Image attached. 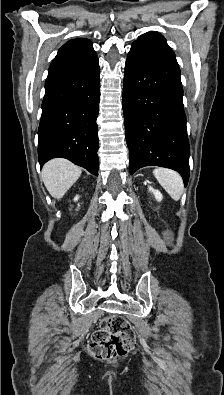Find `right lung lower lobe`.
Instances as JSON below:
<instances>
[{"instance_id":"98d812e1","label":"right lung lower lobe","mask_w":224,"mask_h":395,"mask_svg":"<svg viewBox=\"0 0 224 395\" xmlns=\"http://www.w3.org/2000/svg\"><path fill=\"white\" fill-rule=\"evenodd\" d=\"M100 67L96 52L70 40L52 61L38 130L40 166L63 157L98 175Z\"/></svg>"}]
</instances>
